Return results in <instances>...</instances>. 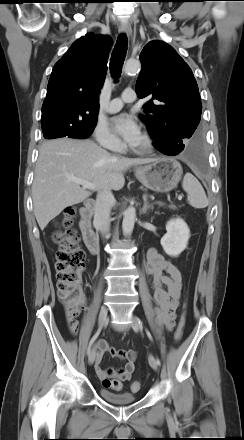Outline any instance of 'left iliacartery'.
I'll list each match as a JSON object with an SVG mask.
<instances>
[{
  "label": "left iliac artery",
  "instance_id": "left-iliac-artery-1",
  "mask_svg": "<svg viewBox=\"0 0 244 440\" xmlns=\"http://www.w3.org/2000/svg\"><path fill=\"white\" fill-rule=\"evenodd\" d=\"M141 324H142V322H141ZM147 334H148V337L152 340L151 334L149 332H147ZM155 361H156L157 365H161V362H160V360L158 358H156Z\"/></svg>",
  "mask_w": 244,
  "mask_h": 440
}]
</instances>
